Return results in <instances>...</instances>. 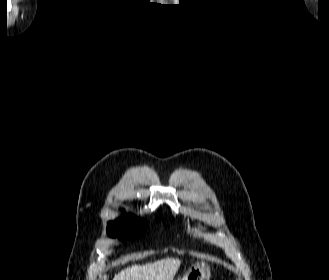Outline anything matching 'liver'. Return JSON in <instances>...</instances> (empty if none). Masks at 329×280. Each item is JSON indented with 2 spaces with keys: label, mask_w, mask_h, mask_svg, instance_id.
<instances>
[{
  "label": "liver",
  "mask_w": 329,
  "mask_h": 280,
  "mask_svg": "<svg viewBox=\"0 0 329 280\" xmlns=\"http://www.w3.org/2000/svg\"><path fill=\"white\" fill-rule=\"evenodd\" d=\"M181 265L175 258H166L144 265H132L118 274L113 280H173Z\"/></svg>",
  "instance_id": "liver-1"
}]
</instances>
